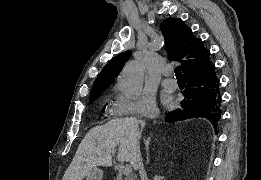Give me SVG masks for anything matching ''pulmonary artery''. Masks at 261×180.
Masks as SVG:
<instances>
[{
	"instance_id": "e3ab8cb5",
	"label": "pulmonary artery",
	"mask_w": 261,
	"mask_h": 180,
	"mask_svg": "<svg viewBox=\"0 0 261 180\" xmlns=\"http://www.w3.org/2000/svg\"><path fill=\"white\" fill-rule=\"evenodd\" d=\"M163 75L166 77L162 81V86L168 90H174L177 88V83L175 79L172 78L173 76V69H164Z\"/></svg>"
}]
</instances>
